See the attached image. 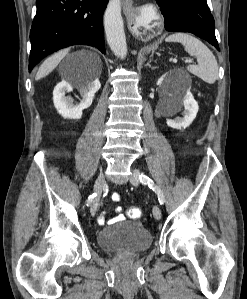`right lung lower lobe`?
Here are the masks:
<instances>
[{
	"label": "right lung lower lobe",
	"mask_w": 247,
	"mask_h": 299,
	"mask_svg": "<svg viewBox=\"0 0 247 299\" xmlns=\"http://www.w3.org/2000/svg\"><path fill=\"white\" fill-rule=\"evenodd\" d=\"M108 1L36 0L29 71L47 55L71 45H90L105 54L102 16Z\"/></svg>",
	"instance_id": "obj_1"
}]
</instances>
